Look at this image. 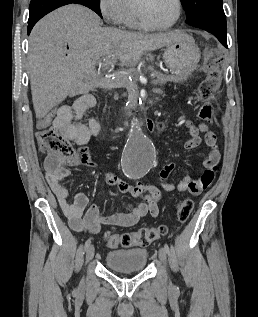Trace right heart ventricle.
Returning <instances> with one entry per match:
<instances>
[{
    "instance_id": "e07e8e85",
    "label": "right heart ventricle",
    "mask_w": 258,
    "mask_h": 317,
    "mask_svg": "<svg viewBox=\"0 0 258 317\" xmlns=\"http://www.w3.org/2000/svg\"><path fill=\"white\" fill-rule=\"evenodd\" d=\"M140 0H125L126 15L124 24L130 28H138L136 20V8Z\"/></svg>"
}]
</instances>
